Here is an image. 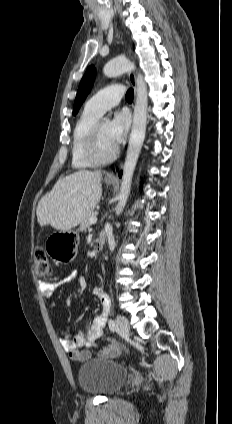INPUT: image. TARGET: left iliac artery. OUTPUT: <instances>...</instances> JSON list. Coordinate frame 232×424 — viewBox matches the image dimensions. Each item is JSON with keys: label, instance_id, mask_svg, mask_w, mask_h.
Here are the masks:
<instances>
[{"label": "left iliac artery", "instance_id": "obj_1", "mask_svg": "<svg viewBox=\"0 0 232 424\" xmlns=\"http://www.w3.org/2000/svg\"><path fill=\"white\" fill-rule=\"evenodd\" d=\"M109 312H110V305H107V307L104 308V311H103L105 319H106V316L108 315ZM108 325H109V328H110L111 331H116L117 327H116L115 322L112 319L108 320Z\"/></svg>", "mask_w": 232, "mask_h": 424}]
</instances>
